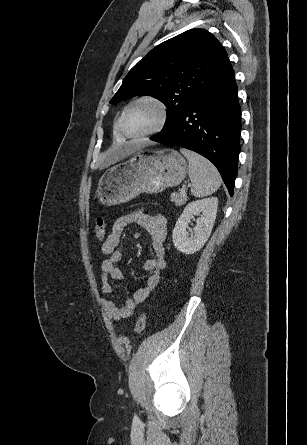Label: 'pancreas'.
I'll use <instances>...</instances> for the list:
<instances>
[{"label":"pancreas","instance_id":"obj_1","mask_svg":"<svg viewBox=\"0 0 307 445\" xmlns=\"http://www.w3.org/2000/svg\"><path fill=\"white\" fill-rule=\"evenodd\" d=\"M170 200L171 202H174L176 206H181V204H185L187 196L186 194H178V192H172Z\"/></svg>","mask_w":307,"mask_h":445}]
</instances>
